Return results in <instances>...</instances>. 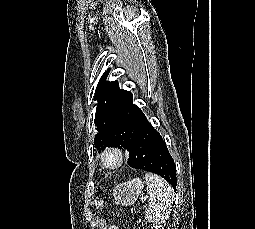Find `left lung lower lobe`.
<instances>
[{"label":"left lung lower lobe","instance_id":"left-lung-lower-lobe-1","mask_svg":"<svg viewBox=\"0 0 255 229\" xmlns=\"http://www.w3.org/2000/svg\"><path fill=\"white\" fill-rule=\"evenodd\" d=\"M112 124L129 139L128 165L154 172L176 190V167L161 135L152 127L140 108L133 104L131 92L112 114Z\"/></svg>","mask_w":255,"mask_h":229}]
</instances>
